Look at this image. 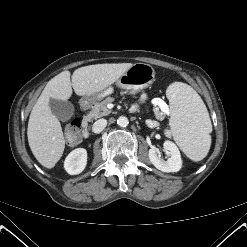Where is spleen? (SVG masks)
Returning a JSON list of instances; mask_svg holds the SVG:
<instances>
[{"mask_svg": "<svg viewBox=\"0 0 247 247\" xmlns=\"http://www.w3.org/2000/svg\"><path fill=\"white\" fill-rule=\"evenodd\" d=\"M172 117L168 136H173L181 150L193 161L206 157L211 146L212 124L207 108L189 85L174 82L167 88Z\"/></svg>", "mask_w": 247, "mask_h": 247, "instance_id": "1", "label": "spleen"}]
</instances>
